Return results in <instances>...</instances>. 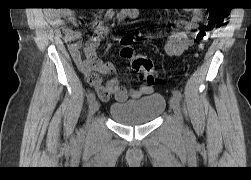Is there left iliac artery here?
Instances as JSON below:
<instances>
[{"label": "left iliac artery", "mask_w": 251, "mask_h": 180, "mask_svg": "<svg viewBox=\"0 0 251 180\" xmlns=\"http://www.w3.org/2000/svg\"><path fill=\"white\" fill-rule=\"evenodd\" d=\"M173 96H174L178 101H180L181 98H182V94H181V92H180L179 90H174V91H173Z\"/></svg>", "instance_id": "44dca946"}]
</instances>
